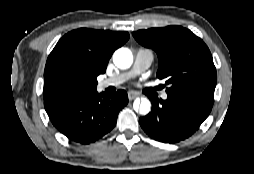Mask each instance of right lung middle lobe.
<instances>
[{"instance_id": "1", "label": "right lung middle lobe", "mask_w": 254, "mask_h": 174, "mask_svg": "<svg viewBox=\"0 0 254 174\" xmlns=\"http://www.w3.org/2000/svg\"><path fill=\"white\" fill-rule=\"evenodd\" d=\"M97 80L71 70H60L44 84V100L96 89Z\"/></svg>"}]
</instances>
